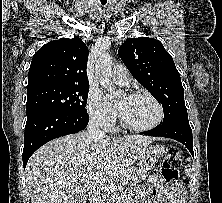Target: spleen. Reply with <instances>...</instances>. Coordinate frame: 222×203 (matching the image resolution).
Segmentation results:
<instances>
[{"instance_id":"3e777b00","label":"spleen","mask_w":222,"mask_h":203,"mask_svg":"<svg viewBox=\"0 0 222 203\" xmlns=\"http://www.w3.org/2000/svg\"><path fill=\"white\" fill-rule=\"evenodd\" d=\"M185 174H186V176H191V174H192L191 166L185 167Z\"/></svg>"}]
</instances>
